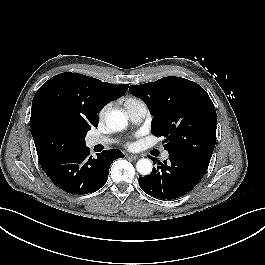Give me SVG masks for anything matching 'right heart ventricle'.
<instances>
[{
	"label": "right heart ventricle",
	"instance_id": "right-heart-ventricle-1",
	"mask_svg": "<svg viewBox=\"0 0 265 265\" xmlns=\"http://www.w3.org/2000/svg\"><path fill=\"white\" fill-rule=\"evenodd\" d=\"M138 102H142V101L137 98H133V97L127 98L125 100V107L127 108L128 106L138 103Z\"/></svg>",
	"mask_w": 265,
	"mask_h": 265
}]
</instances>
